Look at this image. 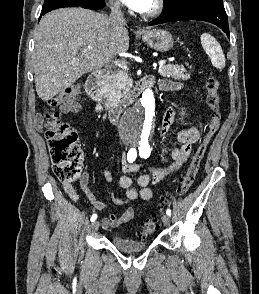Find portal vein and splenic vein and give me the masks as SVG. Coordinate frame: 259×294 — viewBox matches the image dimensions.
Masks as SVG:
<instances>
[{
    "instance_id": "18ae733b",
    "label": "portal vein and splenic vein",
    "mask_w": 259,
    "mask_h": 294,
    "mask_svg": "<svg viewBox=\"0 0 259 294\" xmlns=\"http://www.w3.org/2000/svg\"><path fill=\"white\" fill-rule=\"evenodd\" d=\"M89 50H90V47H86V48L84 49V51H89ZM165 63H166L165 60H161V61L158 62V65H159V66H164ZM114 64H115L116 66L122 68V69H128V66H127L126 63L123 62V61H119V60H117V61H114Z\"/></svg>"
}]
</instances>
